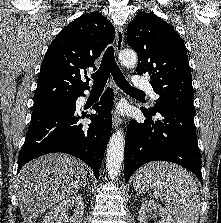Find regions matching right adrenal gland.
I'll return each instance as SVG.
<instances>
[{
  "mask_svg": "<svg viewBox=\"0 0 221 223\" xmlns=\"http://www.w3.org/2000/svg\"><path fill=\"white\" fill-rule=\"evenodd\" d=\"M88 187V188H90V183H89V181H88V178H86V180H85V182H84V184H83V188L84 187Z\"/></svg>",
  "mask_w": 221,
  "mask_h": 223,
  "instance_id": "2a0ac1e0",
  "label": "right adrenal gland"
}]
</instances>
